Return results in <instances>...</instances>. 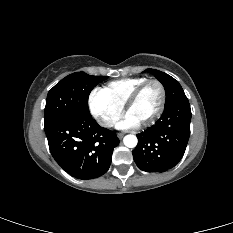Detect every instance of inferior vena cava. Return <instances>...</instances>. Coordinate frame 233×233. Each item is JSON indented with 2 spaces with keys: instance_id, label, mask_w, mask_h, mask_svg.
<instances>
[{
  "instance_id": "1",
  "label": "inferior vena cava",
  "mask_w": 233,
  "mask_h": 233,
  "mask_svg": "<svg viewBox=\"0 0 233 233\" xmlns=\"http://www.w3.org/2000/svg\"><path fill=\"white\" fill-rule=\"evenodd\" d=\"M114 122L111 120H104L103 126L111 127L113 126Z\"/></svg>"
}]
</instances>
